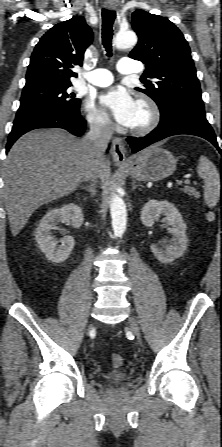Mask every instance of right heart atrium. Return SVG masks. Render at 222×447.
<instances>
[{
	"mask_svg": "<svg viewBox=\"0 0 222 447\" xmlns=\"http://www.w3.org/2000/svg\"><path fill=\"white\" fill-rule=\"evenodd\" d=\"M84 116L90 127L107 132L112 125L108 117L91 104H86L83 108Z\"/></svg>",
	"mask_w": 222,
	"mask_h": 447,
	"instance_id": "right-heart-atrium-1",
	"label": "right heart atrium"
}]
</instances>
